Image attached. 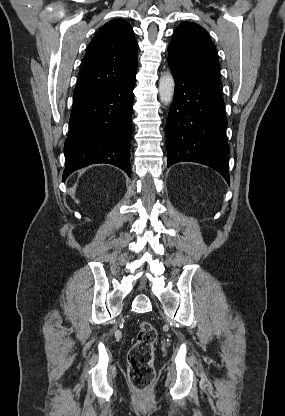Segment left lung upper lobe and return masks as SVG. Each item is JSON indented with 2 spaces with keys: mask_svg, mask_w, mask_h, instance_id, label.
<instances>
[{
  "mask_svg": "<svg viewBox=\"0 0 285 416\" xmlns=\"http://www.w3.org/2000/svg\"><path fill=\"white\" fill-rule=\"evenodd\" d=\"M168 63L202 83L220 88L215 45L207 31L195 23L183 22L174 31Z\"/></svg>",
  "mask_w": 285,
  "mask_h": 416,
  "instance_id": "1",
  "label": "left lung upper lobe"
}]
</instances>
